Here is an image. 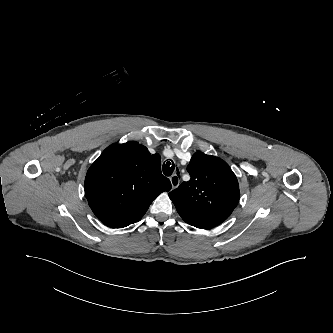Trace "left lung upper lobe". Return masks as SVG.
Returning a JSON list of instances; mask_svg holds the SVG:
<instances>
[{
  "label": "left lung upper lobe",
  "mask_w": 333,
  "mask_h": 333,
  "mask_svg": "<svg viewBox=\"0 0 333 333\" xmlns=\"http://www.w3.org/2000/svg\"><path fill=\"white\" fill-rule=\"evenodd\" d=\"M187 171L191 175L169 193L174 205L183 204L196 208L231 207L235 208L240 198L237 178L229 165L202 152L193 154Z\"/></svg>",
  "instance_id": "1"
}]
</instances>
